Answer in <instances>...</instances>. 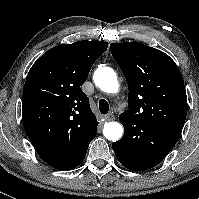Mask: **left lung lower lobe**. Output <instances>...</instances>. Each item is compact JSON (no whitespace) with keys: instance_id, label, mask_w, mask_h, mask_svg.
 <instances>
[{"instance_id":"left-lung-lower-lobe-1","label":"left lung lower lobe","mask_w":199,"mask_h":199,"mask_svg":"<svg viewBox=\"0 0 199 199\" xmlns=\"http://www.w3.org/2000/svg\"><path fill=\"white\" fill-rule=\"evenodd\" d=\"M120 122L124 135L112 147L119 162L131 170L143 171L156 166L178 140L131 117Z\"/></svg>"}]
</instances>
